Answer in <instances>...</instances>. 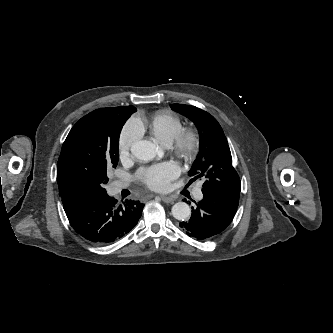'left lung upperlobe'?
I'll use <instances>...</instances> for the list:
<instances>
[{
    "label": "left lung upper lobe",
    "instance_id": "1",
    "mask_svg": "<svg viewBox=\"0 0 333 333\" xmlns=\"http://www.w3.org/2000/svg\"><path fill=\"white\" fill-rule=\"evenodd\" d=\"M171 108L196 125L200 150L189 175L204 180L203 188L215 194H240L241 182L232 166V157L225 134L217 120L195 106L171 104Z\"/></svg>",
    "mask_w": 333,
    "mask_h": 333
}]
</instances>
